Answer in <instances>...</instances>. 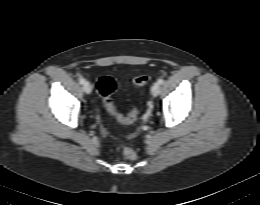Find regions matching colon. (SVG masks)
Instances as JSON below:
<instances>
[{
	"label": "colon",
	"mask_w": 260,
	"mask_h": 205,
	"mask_svg": "<svg viewBox=\"0 0 260 205\" xmlns=\"http://www.w3.org/2000/svg\"><path fill=\"white\" fill-rule=\"evenodd\" d=\"M148 82L149 76L146 74L138 75L132 80V84L135 87H142ZM97 89L103 98L105 107L117 122L121 124H131L137 120L139 111L136 108L131 109L127 115H122L117 111L112 99V95L116 89V82L112 77L107 75L101 76L97 81ZM124 154L130 160H136L138 157L137 153L131 148H124Z\"/></svg>",
	"instance_id": "5ec220e1"
}]
</instances>
